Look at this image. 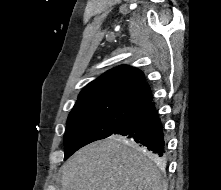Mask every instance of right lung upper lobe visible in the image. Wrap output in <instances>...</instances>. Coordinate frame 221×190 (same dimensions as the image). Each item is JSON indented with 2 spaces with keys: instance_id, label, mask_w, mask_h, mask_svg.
Segmentation results:
<instances>
[{
  "instance_id": "cb5924a9",
  "label": "right lung upper lobe",
  "mask_w": 221,
  "mask_h": 190,
  "mask_svg": "<svg viewBox=\"0 0 221 190\" xmlns=\"http://www.w3.org/2000/svg\"><path fill=\"white\" fill-rule=\"evenodd\" d=\"M152 99L143 72L120 65L90 82L79 94L75 106L110 103L137 109Z\"/></svg>"
}]
</instances>
